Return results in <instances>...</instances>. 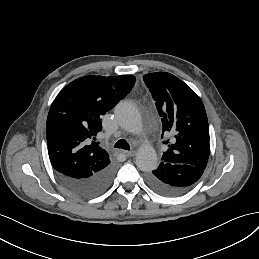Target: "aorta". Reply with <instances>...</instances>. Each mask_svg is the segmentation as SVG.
<instances>
[{
  "mask_svg": "<svg viewBox=\"0 0 259 259\" xmlns=\"http://www.w3.org/2000/svg\"><path fill=\"white\" fill-rule=\"evenodd\" d=\"M119 124L133 134L142 131V119L137 107L128 101H122L115 107ZM136 165L143 172L155 170L158 165L156 151L151 145H142L136 153Z\"/></svg>",
  "mask_w": 259,
  "mask_h": 259,
  "instance_id": "obj_1",
  "label": "aorta"
}]
</instances>
